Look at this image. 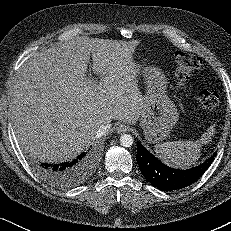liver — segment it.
<instances>
[{
    "label": "liver",
    "mask_w": 231,
    "mask_h": 231,
    "mask_svg": "<svg viewBox=\"0 0 231 231\" xmlns=\"http://www.w3.org/2000/svg\"><path fill=\"white\" fill-rule=\"evenodd\" d=\"M139 43L80 36L27 60L10 102L23 150L42 162L71 160L98 138L102 124L138 120L145 103L133 60ZM90 53L95 79L87 77Z\"/></svg>",
    "instance_id": "1"
}]
</instances>
